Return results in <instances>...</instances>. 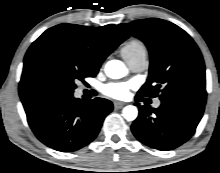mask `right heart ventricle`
Wrapping results in <instances>:
<instances>
[{"label": "right heart ventricle", "instance_id": "obj_1", "mask_svg": "<svg viewBox=\"0 0 220 173\" xmlns=\"http://www.w3.org/2000/svg\"><path fill=\"white\" fill-rule=\"evenodd\" d=\"M138 54H146V48L139 40L133 39L121 48V55L126 61Z\"/></svg>", "mask_w": 220, "mask_h": 173}]
</instances>
